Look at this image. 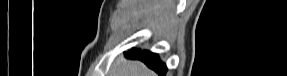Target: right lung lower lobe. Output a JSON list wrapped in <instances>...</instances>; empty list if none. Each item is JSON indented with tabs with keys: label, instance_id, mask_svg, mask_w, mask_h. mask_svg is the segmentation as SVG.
<instances>
[{
	"label": "right lung lower lobe",
	"instance_id": "obj_1",
	"mask_svg": "<svg viewBox=\"0 0 287 76\" xmlns=\"http://www.w3.org/2000/svg\"><path fill=\"white\" fill-rule=\"evenodd\" d=\"M126 57L143 61L149 68H152L159 73L160 76H164L167 71L165 64L160 62L158 55L149 51L134 49L129 53H126Z\"/></svg>",
	"mask_w": 287,
	"mask_h": 76
}]
</instances>
